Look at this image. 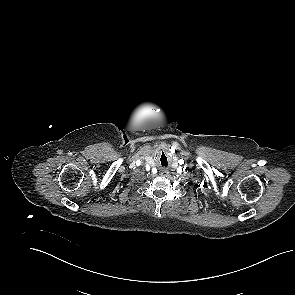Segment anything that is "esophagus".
<instances>
[{"mask_svg":"<svg viewBox=\"0 0 295 295\" xmlns=\"http://www.w3.org/2000/svg\"><path fill=\"white\" fill-rule=\"evenodd\" d=\"M168 170H166V169H163V170H161V175H163V176H167L168 175Z\"/></svg>","mask_w":295,"mask_h":295,"instance_id":"34e87169","label":"esophagus"}]
</instances>
